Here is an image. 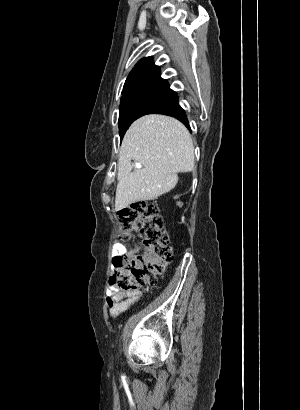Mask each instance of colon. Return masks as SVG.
I'll return each mask as SVG.
<instances>
[{"label":"colon","instance_id":"5ec220e1","mask_svg":"<svg viewBox=\"0 0 300 410\" xmlns=\"http://www.w3.org/2000/svg\"><path fill=\"white\" fill-rule=\"evenodd\" d=\"M118 217L124 237L135 236L143 244L144 252L126 253L115 258L111 289L126 293L141 286L155 287L172 261L168 234L158 206L140 201L119 211Z\"/></svg>","mask_w":300,"mask_h":410}]
</instances>
